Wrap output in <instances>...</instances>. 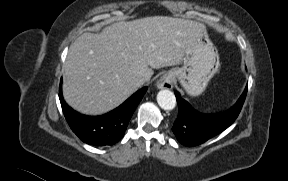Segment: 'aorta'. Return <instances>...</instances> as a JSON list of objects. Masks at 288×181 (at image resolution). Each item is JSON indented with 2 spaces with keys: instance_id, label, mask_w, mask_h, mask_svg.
Listing matches in <instances>:
<instances>
[{
  "instance_id": "762f6f07",
  "label": "aorta",
  "mask_w": 288,
  "mask_h": 181,
  "mask_svg": "<svg viewBox=\"0 0 288 181\" xmlns=\"http://www.w3.org/2000/svg\"><path fill=\"white\" fill-rule=\"evenodd\" d=\"M157 102L164 110H172L176 105V97L170 90L164 89L158 92Z\"/></svg>"
}]
</instances>
